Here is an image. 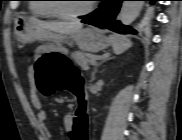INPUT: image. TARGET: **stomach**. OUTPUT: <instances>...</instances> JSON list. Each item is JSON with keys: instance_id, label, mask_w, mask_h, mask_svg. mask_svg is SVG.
<instances>
[{"instance_id": "1", "label": "stomach", "mask_w": 182, "mask_h": 140, "mask_svg": "<svg viewBox=\"0 0 182 140\" xmlns=\"http://www.w3.org/2000/svg\"><path fill=\"white\" fill-rule=\"evenodd\" d=\"M14 33L16 39L23 44L42 39L46 34L31 20L24 17H18L15 19ZM50 40L54 43L50 47L51 51L59 54L67 53V50L62 46V43L67 40L75 42L81 50L93 53L105 49L110 44L109 38L105 37L100 31L93 27L80 29L70 36L51 34Z\"/></svg>"}]
</instances>
